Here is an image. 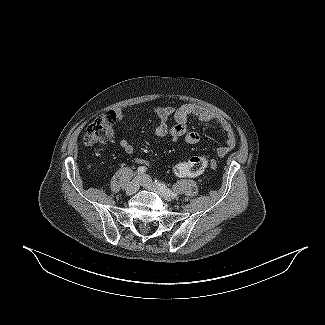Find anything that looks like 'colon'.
Here are the masks:
<instances>
[{
    "label": "colon",
    "instance_id": "obj_1",
    "mask_svg": "<svg viewBox=\"0 0 325 325\" xmlns=\"http://www.w3.org/2000/svg\"><path fill=\"white\" fill-rule=\"evenodd\" d=\"M115 116L108 112L99 116L87 128L83 137L86 145L107 142L114 136ZM208 166V160L205 157H192L187 161L179 162L173 166V172L180 177H189L201 174Z\"/></svg>",
    "mask_w": 325,
    "mask_h": 325
}]
</instances>
